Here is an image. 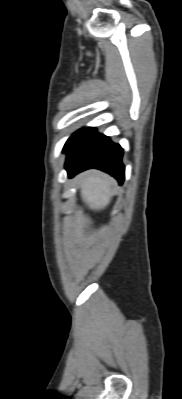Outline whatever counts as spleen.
<instances>
[{
    "mask_svg": "<svg viewBox=\"0 0 182 399\" xmlns=\"http://www.w3.org/2000/svg\"><path fill=\"white\" fill-rule=\"evenodd\" d=\"M82 199L92 209H102L110 202L113 180L99 172H90L81 179Z\"/></svg>",
    "mask_w": 182,
    "mask_h": 399,
    "instance_id": "spleen-1",
    "label": "spleen"
}]
</instances>
